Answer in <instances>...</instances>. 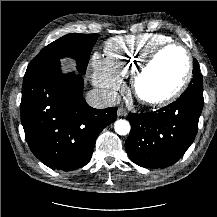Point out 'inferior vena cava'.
Returning <instances> with one entry per match:
<instances>
[{"instance_id": "inferior-vena-cava-1", "label": "inferior vena cava", "mask_w": 217, "mask_h": 217, "mask_svg": "<svg viewBox=\"0 0 217 217\" xmlns=\"http://www.w3.org/2000/svg\"><path fill=\"white\" fill-rule=\"evenodd\" d=\"M119 100V95L116 92L103 89H92L86 95L88 105L96 109L115 106Z\"/></svg>"}]
</instances>
